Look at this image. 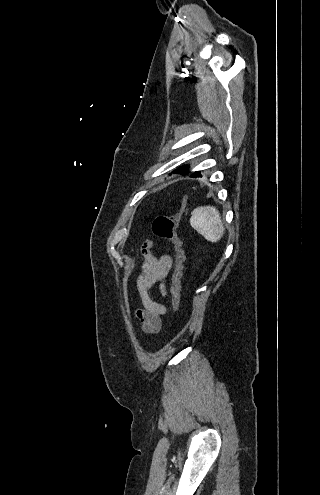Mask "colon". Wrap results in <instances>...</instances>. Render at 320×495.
Instances as JSON below:
<instances>
[{"label":"colon","instance_id":"colon-1","mask_svg":"<svg viewBox=\"0 0 320 495\" xmlns=\"http://www.w3.org/2000/svg\"><path fill=\"white\" fill-rule=\"evenodd\" d=\"M186 207V199L184 198L179 211L173 215L160 214L155 217L152 223L153 233L168 241L174 251L175 267L171 281L172 303L175 312L178 311L181 298V278L184 268V250L182 242L177 234V228L183 219Z\"/></svg>","mask_w":320,"mask_h":495}]
</instances>
